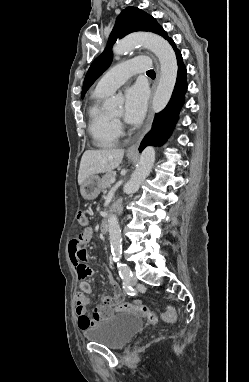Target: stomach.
<instances>
[{
  "label": "stomach",
  "instance_id": "obj_1",
  "mask_svg": "<svg viewBox=\"0 0 249 382\" xmlns=\"http://www.w3.org/2000/svg\"><path fill=\"white\" fill-rule=\"evenodd\" d=\"M128 157L130 159L134 158L132 155H128ZM100 182L101 179L98 175H91L88 177L80 188L82 197L85 200L95 199L101 191Z\"/></svg>",
  "mask_w": 249,
  "mask_h": 382
}]
</instances>
